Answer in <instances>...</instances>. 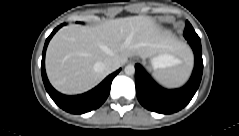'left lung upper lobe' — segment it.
<instances>
[{
    "label": "left lung upper lobe",
    "mask_w": 239,
    "mask_h": 136,
    "mask_svg": "<svg viewBox=\"0 0 239 136\" xmlns=\"http://www.w3.org/2000/svg\"><path fill=\"white\" fill-rule=\"evenodd\" d=\"M183 35L187 40H198V41H200L199 36L196 34L192 25L188 21L186 22V26H185V30H184Z\"/></svg>",
    "instance_id": "left-lung-upper-lobe-1"
}]
</instances>
